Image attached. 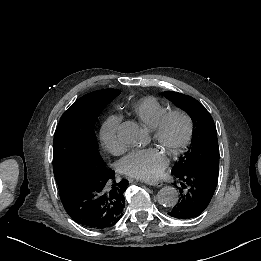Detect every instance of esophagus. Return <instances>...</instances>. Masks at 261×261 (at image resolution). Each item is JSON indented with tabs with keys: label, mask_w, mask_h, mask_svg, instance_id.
I'll return each mask as SVG.
<instances>
[{
	"label": "esophagus",
	"mask_w": 261,
	"mask_h": 261,
	"mask_svg": "<svg viewBox=\"0 0 261 261\" xmlns=\"http://www.w3.org/2000/svg\"><path fill=\"white\" fill-rule=\"evenodd\" d=\"M145 184L150 185V186H157L161 187L163 185V182L160 180H145Z\"/></svg>",
	"instance_id": "esophagus-1"
}]
</instances>
